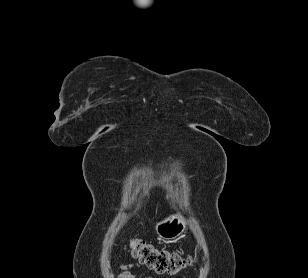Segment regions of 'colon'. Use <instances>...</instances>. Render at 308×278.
<instances>
[{"label": "colon", "instance_id": "obj_1", "mask_svg": "<svg viewBox=\"0 0 308 278\" xmlns=\"http://www.w3.org/2000/svg\"><path fill=\"white\" fill-rule=\"evenodd\" d=\"M130 249L132 255L142 264L161 274H176L189 263L186 257L175 252L159 249L142 239H132Z\"/></svg>", "mask_w": 308, "mask_h": 278}]
</instances>
